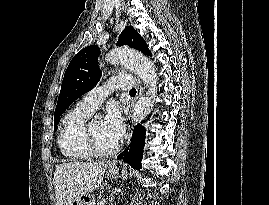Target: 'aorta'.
Masks as SVG:
<instances>
[{
  "label": "aorta",
  "mask_w": 269,
  "mask_h": 205,
  "mask_svg": "<svg viewBox=\"0 0 269 205\" xmlns=\"http://www.w3.org/2000/svg\"><path fill=\"white\" fill-rule=\"evenodd\" d=\"M110 64H122L139 76L148 85V91L135 104L132 119L142 121L153 109L157 95V74L152 62L142 53L130 49H114L107 53Z\"/></svg>",
  "instance_id": "aorta-1"
}]
</instances>
